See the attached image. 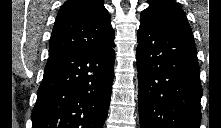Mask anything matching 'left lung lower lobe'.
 <instances>
[{"label": "left lung lower lobe", "instance_id": "left-lung-lower-lobe-1", "mask_svg": "<svg viewBox=\"0 0 221 128\" xmlns=\"http://www.w3.org/2000/svg\"><path fill=\"white\" fill-rule=\"evenodd\" d=\"M136 52L141 128H199L202 87L195 42L140 20Z\"/></svg>", "mask_w": 221, "mask_h": 128}]
</instances>
